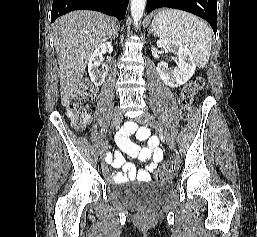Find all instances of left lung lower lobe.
Wrapping results in <instances>:
<instances>
[{
    "mask_svg": "<svg viewBox=\"0 0 257 237\" xmlns=\"http://www.w3.org/2000/svg\"><path fill=\"white\" fill-rule=\"evenodd\" d=\"M161 7L184 10L204 18L216 35L217 0H147V14Z\"/></svg>",
    "mask_w": 257,
    "mask_h": 237,
    "instance_id": "0a47b994",
    "label": "left lung lower lobe"
}]
</instances>
